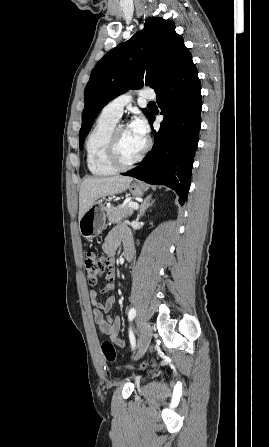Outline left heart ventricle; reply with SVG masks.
Returning <instances> with one entry per match:
<instances>
[{"label":"left heart ventricle","instance_id":"left-heart-ventricle-1","mask_svg":"<svg viewBox=\"0 0 269 447\" xmlns=\"http://www.w3.org/2000/svg\"><path fill=\"white\" fill-rule=\"evenodd\" d=\"M146 146V138L142 137L129 126H125L118 132V147L120 158L124 162L136 159Z\"/></svg>","mask_w":269,"mask_h":447}]
</instances>
